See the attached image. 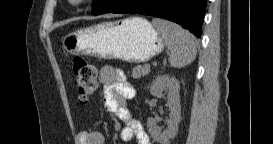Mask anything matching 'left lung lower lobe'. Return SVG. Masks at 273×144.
<instances>
[{"mask_svg": "<svg viewBox=\"0 0 273 144\" xmlns=\"http://www.w3.org/2000/svg\"><path fill=\"white\" fill-rule=\"evenodd\" d=\"M207 0H109L93 15L106 13L150 15L173 21L197 38L202 34Z\"/></svg>", "mask_w": 273, "mask_h": 144, "instance_id": "0a47b994", "label": "left lung lower lobe"}]
</instances>
